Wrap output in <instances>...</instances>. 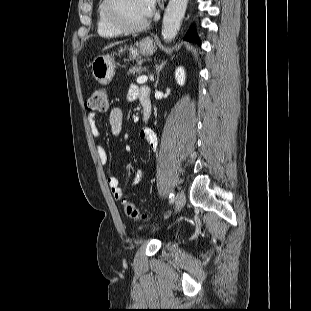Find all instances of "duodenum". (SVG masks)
<instances>
[{
    "label": "duodenum",
    "instance_id": "410a0bca",
    "mask_svg": "<svg viewBox=\"0 0 311 311\" xmlns=\"http://www.w3.org/2000/svg\"><path fill=\"white\" fill-rule=\"evenodd\" d=\"M142 105H143V109H144V118H145V120H148L150 118V114H151V104L149 101L144 100Z\"/></svg>",
    "mask_w": 311,
    "mask_h": 311
}]
</instances>
